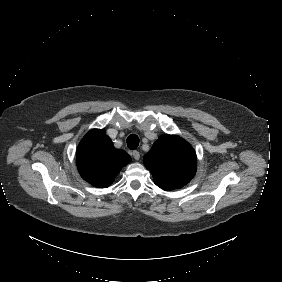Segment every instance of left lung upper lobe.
Listing matches in <instances>:
<instances>
[{
    "mask_svg": "<svg viewBox=\"0 0 282 282\" xmlns=\"http://www.w3.org/2000/svg\"><path fill=\"white\" fill-rule=\"evenodd\" d=\"M154 183L166 190L181 188L194 177L196 153L192 146L176 135H162L143 158Z\"/></svg>",
    "mask_w": 282,
    "mask_h": 282,
    "instance_id": "obj_1",
    "label": "left lung upper lobe"
}]
</instances>
